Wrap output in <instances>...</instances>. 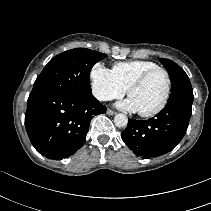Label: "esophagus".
I'll return each instance as SVG.
<instances>
[{
	"label": "esophagus",
	"mask_w": 211,
	"mask_h": 211,
	"mask_svg": "<svg viewBox=\"0 0 211 211\" xmlns=\"http://www.w3.org/2000/svg\"><path fill=\"white\" fill-rule=\"evenodd\" d=\"M107 114H108V115H114V114H116V112L113 111V110H111V109H108V110H107Z\"/></svg>",
	"instance_id": "esophagus-1"
}]
</instances>
